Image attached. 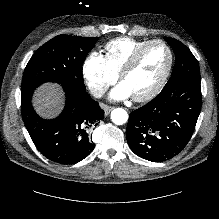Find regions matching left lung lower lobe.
I'll return each mask as SVG.
<instances>
[{
	"instance_id": "obj_1",
	"label": "left lung lower lobe",
	"mask_w": 219,
	"mask_h": 219,
	"mask_svg": "<svg viewBox=\"0 0 219 219\" xmlns=\"http://www.w3.org/2000/svg\"><path fill=\"white\" fill-rule=\"evenodd\" d=\"M201 81L185 78L129 116L126 138L141 158L162 162L187 145L201 109Z\"/></svg>"
}]
</instances>
